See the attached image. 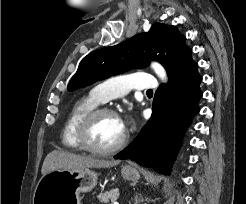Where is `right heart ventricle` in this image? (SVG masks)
<instances>
[{
    "instance_id": "right-heart-ventricle-1",
    "label": "right heart ventricle",
    "mask_w": 246,
    "mask_h": 204,
    "mask_svg": "<svg viewBox=\"0 0 246 204\" xmlns=\"http://www.w3.org/2000/svg\"><path fill=\"white\" fill-rule=\"evenodd\" d=\"M100 103L92 94L78 99L71 107L62 129V143L71 150H81L76 130L81 119L91 110L98 107Z\"/></svg>"
}]
</instances>
